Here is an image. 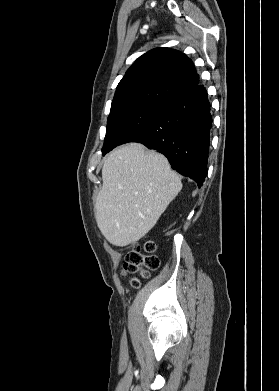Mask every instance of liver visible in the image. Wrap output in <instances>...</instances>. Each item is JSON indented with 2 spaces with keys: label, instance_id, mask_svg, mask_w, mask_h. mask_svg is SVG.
I'll use <instances>...</instances> for the list:
<instances>
[{
  "label": "liver",
  "instance_id": "obj_1",
  "mask_svg": "<svg viewBox=\"0 0 279 391\" xmlns=\"http://www.w3.org/2000/svg\"><path fill=\"white\" fill-rule=\"evenodd\" d=\"M95 217L102 235L124 247L144 237L182 189L165 156L130 143L109 154L102 168Z\"/></svg>",
  "mask_w": 279,
  "mask_h": 391
}]
</instances>
